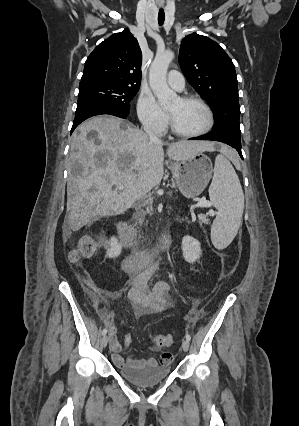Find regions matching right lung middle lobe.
I'll return each mask as SVG.
<instances>
[{
	"instance_id": "dd1d6c3e",
	"label": "right lung middle lobe",
	"mask_w": 299,
	"mask_h": 426,
	"mask_svg": "<svg viewBox=\"0 0 299 426\" xmlns=\"http://www.w3.org/2000/svg\"><path fill=\"white\" fill-rule=\"evenodd\" d=\"M138 90L139 87L105 82L79 85L77 105L85 102H99L129 114L130 102Z\"/></svg>"
}]
</instances>
